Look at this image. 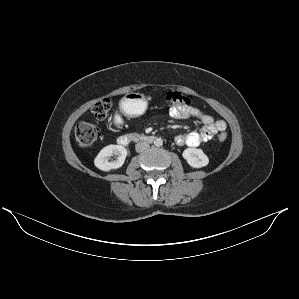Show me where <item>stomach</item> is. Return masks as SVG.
Listing matches in <instances>:
<instances>
[{
    "mask_svg": "<svg viewBox=\"0 0 299 299\" xmlns=\"http://www.w3.org/2000/svg\"><path fill=\"white\" fill-rule=\"evenodd\" d=\"M147 107L148 100L141 93H127L120 101V109L122 112L131 117H137L144 114Z\"/></svg>",
    "mask_w": 299,
    "mask_h": 299,
    "instance_id": "obj_1",
    "label": "stomach"
}]
</instances>
